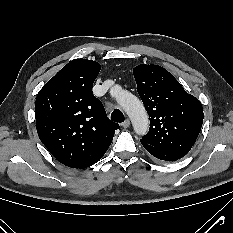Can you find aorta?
Returning a JSON list of instances; mask_svg holds the SVG:
<instances>
[{"label": "aorta", "mask_w": 233, "mask_h": 233, "mask_svg": "<svg viewBox=\"0 0 233 233\" xmlns=\"http://www.w3.org/2000/svg\"><path fill=\"white\" fill-rule=\"evenodd\" d=\"M115 89L120 88L116 86L112 91ZM117 101L130 117L135 133L146 134L149 128V119L142 102L131 93L122 90L117 96Z\"/></svg>", "instance_id": "obj_1"}]
</instances>
